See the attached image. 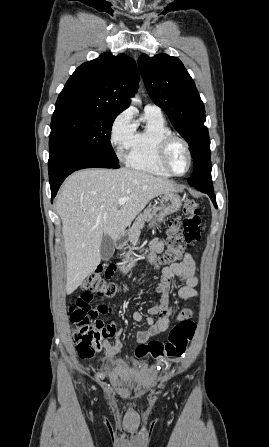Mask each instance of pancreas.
Wrapping results in <instances>:
<instances>
[{"label":"pancreas","instance_id":"1","mask_svg":"<svg viewBox=\"0 0 269 447\" xmlns=\"http://www.w3.org/2000/svg\"><path fill=\"white\" fill-rule=\"evenodd\" d=\"M158 210L159 208H156V206H148V208H146V210H144V212L136 218V222L131 225L128 231L131 243H133V245H137L141 229H143L145 222H147V220H153V216H156V212H158ZM130 249H134V247H130ZM121 255H125L126 259H124V261H129V267H133L135 261H137L134 257H130L131 253H121Z\"/></svg>","mask_w":269,"mask_h":447}]
</instances>
